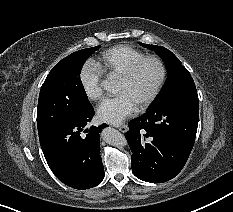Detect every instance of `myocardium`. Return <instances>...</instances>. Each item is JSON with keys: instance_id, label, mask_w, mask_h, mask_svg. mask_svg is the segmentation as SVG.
Returning <instances> with one entry per match:
<instances>
[{"instance_id": "f54148a6", "label": "myocardium", "mask_w": 233, "mask_h": 212, "mask_svg": "<svg viewBox=\"0 0 233 212\" xmlns=\"http://www.w3.org/2000/svg\"><path fill=\"white\" fill-rule=\"evenodd\" d=\"M148 61H154L158 65L160 72L158 81L156 82L153 90L147 96V98L138 105L140 109L148 107L157 98L162 89L167 77V69L164 61L158 56L147 55L135 61L122 75H120V79L124 81H130L134 78L141 66Z\"/></svg>"}]
</instances>
